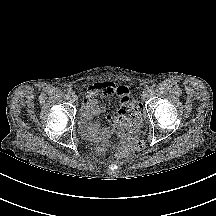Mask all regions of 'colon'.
Returning <instances> with one entry per match:
<instances>
[{"instance_id": "obj_1", "label": "colon", "mask_w": 216, "mask_h": 216, "mask_svg": "<svg viewBox=\"0 0 216 216\" xmlns=\"http://www.w3.org/2000/svg\"><path fill=\"white\" fill-rule=\"evenodd\" d=\"M145 119V109L143 105L133 100L127 104L123 114L112 122V130L119 138L114 147L117 149L119 157H128L142 149L140 140L129 137V134L136 133Z\"/></svg>"}]
</instances>
